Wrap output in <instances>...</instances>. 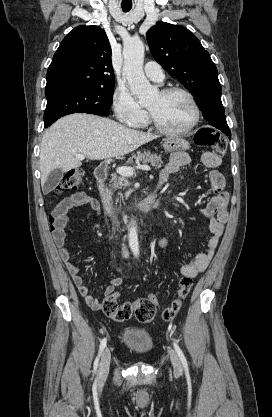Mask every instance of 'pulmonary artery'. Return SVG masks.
I'll list each match as a JSON object with an SVG mask.
<instances>
[{
    "mask_svg": "<svg viewBox=\"0 0 272 417\" xmlns=\"http://www.w3.org/2000/svg\"><path fill=\"white\" fill-rule=\"evenodd\" d=\"M144 72L148 79L156 83H162L165 78L162 67L154 61L146 63Z\"/></svg>",
    "mask_w": 272,
    "mask_h": 417,
    "instance_id": "obj_1",
    "label": "pulmonary artery"
}]
</instances>
